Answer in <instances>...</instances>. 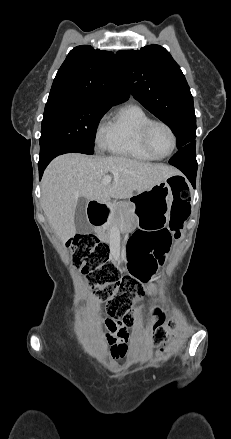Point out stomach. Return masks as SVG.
Instances as JSON below:
<instances>
[{
	"label": "stomach",
	"instance_id": "0dacf381",
	"mask_svg": "<svg viewBox=\"0 0 231 439\" xmlns=\"http://www.w3.org/2000/svg\"><path fill=\"white\" fill-rule=\"evenodd\" d=\"M170 178L132 196L128 204L134 215L124 223L126 230H133L137 225L146 230H157L168 222L173 200Z\"/></svg>",
	"mask_w": 231,
	"mask_h": 439
}]
</instances>
